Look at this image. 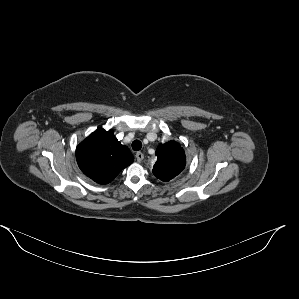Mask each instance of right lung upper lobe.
I'll return each mask as SVG.
<instances>
[{
  "mask_svg": "<svg viewBox=\"0 0 299 299\" xmlns=\"http://www.w3.org/2000/svg\"><path fill=\"white\" fill-rule=\"evenodd\" d=\"M76 159L81 171L99 184L109 183L134 161L113 131L104 129L93 132L77 146Z\"/></svg>",
  "mask_w": 299,
  "mask_h": 299,
  "instance_id": "right-lung-upper-lobe-1",
  "label": "right lung upper lobe"
}]
</instances>
